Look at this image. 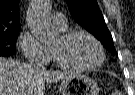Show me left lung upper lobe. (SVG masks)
Returning a JSON list of instances; mask_svg holds the SVG:
<instances>
[{
    "instance_id": "5c2ea615",
    "label": "left lung upper lobe",
    "mask_w": 135,
    "mask_h": 95,
    "mask_svg": "<svg viewBox=\"0 0 135 95\" xmlns=\"http://www.w3.org/2000/svg\"><path fill=\"white\" fill-rule=\"evenodd\" d=\"M74 20L92 33L113 55H117L111 33L96 0H67Z\"/></svg>"
}]
</instances>
